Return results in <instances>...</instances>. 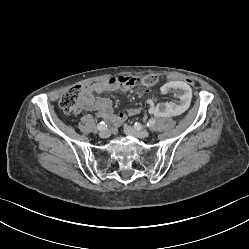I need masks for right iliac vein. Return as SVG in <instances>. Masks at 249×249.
I'll return each mask as SVG.
<instances>
[{
	"label": "right iliac vein",
	"mask_w": 249,
	"mask_h": 249,
	"mask_svg": "<svg viewBox=\"0 0 249 249\" xmlns=\"http://www.w3.org/2000/svg\"><path fill=\"white\" fill-rule=\"evenodd\" d=\"M99 136L101 138H108L110 136V131L107 129H103L99 132Z\"/></svg>",
	"instance_id": "1"
}]
</instances>
